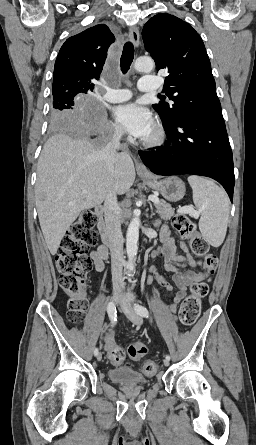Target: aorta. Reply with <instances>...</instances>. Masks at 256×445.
Returning a JSON list of instances; mask_svg holds the SVG:
<instances>
[{
  "mask_svg": "<svg viewBox=\"0 0 256 445\" xmlns=\"http://www.w3.org/2000/svg\"><path fill=\"white\" fill-rule=\"evenodd\" d=\"M154 61L149 57H139L134 63L135 70L139 72H151L154 68ZM140 213L135 214L131 220L126 234V252L128 257L127 270L128 272L135 271L134 258L138 250Z\"/></svg>",
  "mask_w": 256,
  "mask_h": 445,
  "instance_id": "762f6f07",
  "label": "aorta"
}]
</instances>
